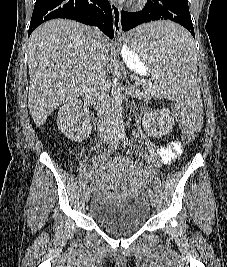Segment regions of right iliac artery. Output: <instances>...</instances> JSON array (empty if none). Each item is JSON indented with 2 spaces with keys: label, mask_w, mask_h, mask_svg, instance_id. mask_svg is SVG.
Returning <instances> with one entry per match:
<instances>
[{
  "label": "right iliac artery",
  "mask_w": 227,
  "mask_h": 267,
  "mask_svg": "<svg viewBox=\"0 0 227 267\" xmlns=\"http://www.w3.org/2000/svg\"><path fill=\"white\" fill-rule=\"evenodd\" d=\"M112 137L113 138L111 139V145L105 151V154H104L105 156L109 155L110 153H112V151H114L117 148L118 144H119V135H118V133L114 132V135ZM91 176H92V171L86 177V182L87 183L91 179Z\"/></svg>",
  "instance_id": "1"
}]
</instances>
